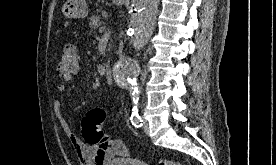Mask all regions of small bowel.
Listing matches in <instances>:
<instances>
[{
    "mask_svg": "<svg viewBox=\"0 0 276 165\" xmlns=\"http://www.w3.org/2000/svg\"><path fill=\"white\" fill-rule=\"evenodd\" d=\"M71 77L72 76H66L62 77V79L63 81L68 82L71 80ZM65 89L66 87L64 83H60L57 85V90L59 92L62 93L65 91ZM53 110L64 134L66 135L67 139L75 150L80 165H109L116 157L125 156L126 150L123 142L120 140H117V142L124 149L123 155H118L116 153L101 154L96 147L87 145L82 142L74 133L72 127L66 120L62 105L57 99L53 101Z\"/></svg>",
    "mask_w": 276,
    "mask_h": 165,
    "instance_id": "obj_1",
    "label": "small bowel"
}]
</instances>
